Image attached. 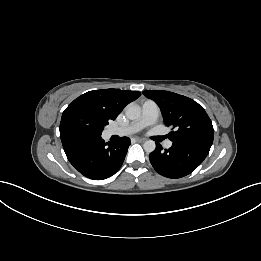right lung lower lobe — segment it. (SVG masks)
<instances>
[{
	"mask_svg": "<svg viewBox=\"0 0 261 261\" xmlns=\"http://www.w3.org/2000/svg\"><path fill=\"white\" fill-rule=\"evenodd\" d=\"M69 162L87 178L103 180L114 175L123 164L130 139L105 142L101 136L83 133L60 134Z\"/></svg>",
	"mask_w": 261,
	"mask_h": 261,
	"instance_id": "right-lung-lower-lobe-1",
	"label": "right lung lower lobe"
}]
</instances>
